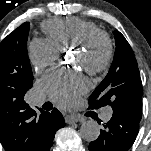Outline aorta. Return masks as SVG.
I'll list each match as a JSON object with an SVG mask.
<instances>
[{"mask_svg": "<svg viewBox=\"0 0 151 151\" xmlns=\"http://www.w3.org/2000/svg\"><path fill=\"white\" fill-rule=\"evenodd\" d=\"M100 135V126L94 120L84 122L80 127V136L87 142H92L98 139Z\"/></svg>", "mask_w": 151, "mask_h": 151, "instance_id": "aorta-1", "label": "aorta"}]
</instances>
